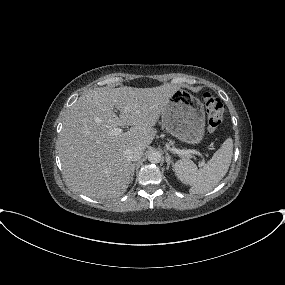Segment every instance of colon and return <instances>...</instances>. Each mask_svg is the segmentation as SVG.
I'll return each instance as SVG.
<instances>
[{
    "label": "colon",
    "mask_w": 285,
    "mask_h": 285,
    "mask_svg": "<svg viewBox=\"0 0 285 285\" xmlns=\"http://www.w3.org/2000/svg\"><path fill=\"white\" fill-rule=\"evenodd\" d=\"M203 103L207 116V132L214 133L222 124L223 104L219 98L208 92L203 94Z\"/></svg>",
    "instance_id": "5ec220e1"
}]
</instances>
